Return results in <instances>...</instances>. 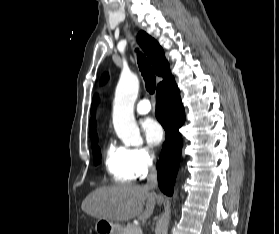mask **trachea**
<instances>
[{
    "instance_id": "trachea-1",
    "label": "trachea",
    "mask_w": 279,
    "mask_h": 234,
    "mask_svg": "<svg viewBox=\"0 0 279 234\" xmlns=\"http://www.w3.org/2000/svg\"><path fill=\"white\" fill-rule=\"evenodd\" d=\"M138 66L144 78L147 91L153 94L156 88V77L148 60L142 54L138 55Z\"/></svg>"
}]
</instances>
